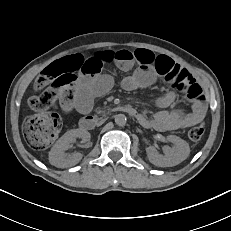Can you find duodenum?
Wrapping results in <instances>:
<instances>
[{
	"instance_id": "duodenum-1",
	"label": "duodenum",
	"mask_w": 231,
	"mask_h": 231,
	"mask_svg": "<svg viewBox=\"0 0 231 231\" xmlns=\"http://www.w3.org/2000/svg\"><path fill=\"white\" fill-rule=\"evenodd\" d=\"M117 111L129 114L131 117L136 120H140L142 115L139 114L134 108L130 106H120L117 108ZM98 120L93 116H85L79 122V128L83 131H88L94 128Z\"/></svg>"
}]
</instances>
